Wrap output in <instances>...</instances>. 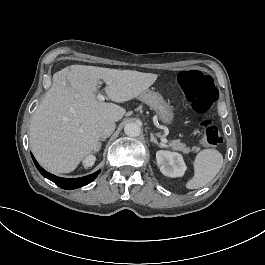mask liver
<instances>
[{
	"label": "liver",
	"mask_w": 265,
	"mask_h": 265,
	"mask_svg": "<svg viewBox=\"0 0 265 265\" xmlns=\"http://www.w3.org/2000/svg\"><path fill=\"white\" fill-rule=\"evenodd\" d=\"M158 74L115 70L93 65H68L52 77V86L35 110L30 124V147L39 163L54 173H70L95 150L97 127L103 120L120 121L126 110L97 99L100 80L115 103L137 98Z\"/></svg>",
	"instance_id": "liver-1"
}]
</instances>
